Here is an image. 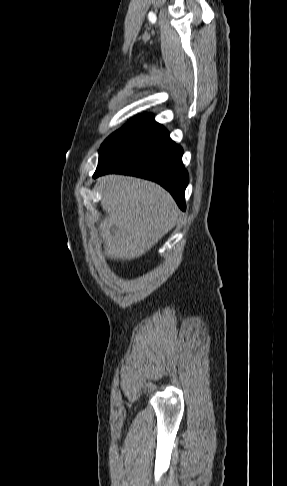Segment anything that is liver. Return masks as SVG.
Here are the masks:
<instances>
[{
  "mask_svg": "<svg viewBox=\"0 0 287 486\" xmlns=\"http://www.w3.org/2000/svg\"><path fill=\"white\" fill-rule=\"evenodd\" d=\"M100 180L106 217L99 224V235L108 259L139 258L175 226L179 210L159 185L116 174Z\"/></svg>",
  "mask_w": 287,
  "mask_h": 486,
  "instance_id": "1",
  "label": "liver"
}]
</instances>
